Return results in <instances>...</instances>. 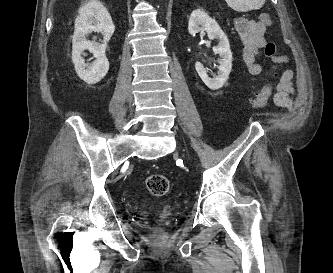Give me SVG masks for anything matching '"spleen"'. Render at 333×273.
I'll return each mask as SVG.
<instances>
[{"mask_svg":"<svg viewBox=\"0 0 333 273\" xmlns=\"http://www.w3.org/2000/svg\"><path fill=\"white\" fill-rule=\"evenodd\" d=\"M237 12H247L261 8L266 0H225Z\"/></svg>","mask_w":333,"mask_h":273,"instance_id":"1","label":"spleen"}]
</instances>
